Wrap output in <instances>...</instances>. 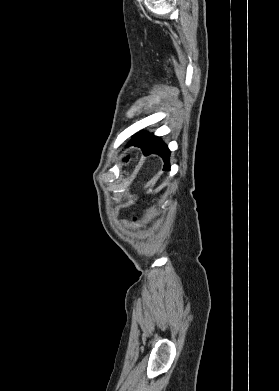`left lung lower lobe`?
<instances>
[{"label":"left lung lower lobe","instance_id":"left-lung-lower-lobe-1","mask_svg":"<svg viewBox=\"0 0 279 391\" xmlns=\"http://www.w3.org/2000/svg\"><path fill=\"white\" fill-rule=\"evenodd\" d=\"M132 144L140 147L145 156L150 154H158L161 156L165 162L164 170H169L170 151L159 137H156L153 134H148L147 132H142L138 135H135L128 146Z\"/></svg>","mask_w":279,"mask_h":391}]
</instances>
